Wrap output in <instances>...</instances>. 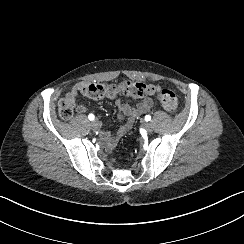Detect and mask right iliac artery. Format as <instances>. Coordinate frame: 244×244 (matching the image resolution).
Wrapping results in <instances>:
<instances>
[{
  "label": "right iliac artery",
  "mask_w": 244,
  "mask_h": 244,
  "mask_svg": "<svg viewBox=\"0 0 244 244\" xmlns=\"http://www.w3.org/2000/svg\"><path fill=\"white\" fill-rule=\"evenodd\" d=\"M88 118H89V120L92 121V120H94L95 116L93 114H89Z\"/></svg>",
  "instance_id": "1"
}]
</instances>
